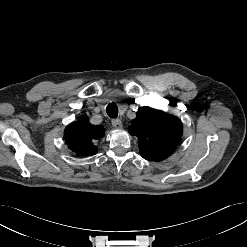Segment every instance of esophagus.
Wrapping results in <instances>:
<instances>
[{
	"label": "esophagus",
	"instance_id": "34e87169",
	"mask_svg": "<svg viewBox=\"0 0 247 247\" xmlns=\"http://www.w3.org/2000/svg\"><path fill=\"white\" fill-rule=\"evenodd\" d=\"M111 123H112L113 127L116 128V129H121L122 126H123L120 119H113L111 121Z\"/></svg>",
	"mask_w": 247,
	"mask_h": 247
}]
</instances>
